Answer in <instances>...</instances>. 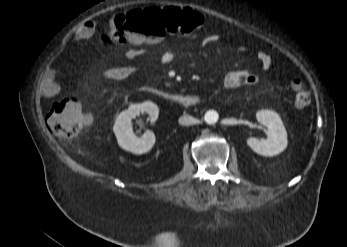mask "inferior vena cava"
<instances>
[{"label":"inferior vena cava","instance_id":"1","mask_svg":"<svg viewBox=\"0 0 347 247\" xmlns=\"http://www.w3.org/2000/svg\"><path fill=\"white\" fill-rule=\"evenodd\" d=\"M197 122H198L197 119H195L194 117L189 116V115H184V116L179 118V123L181 125H185V126H189L191 124H196Z\"/></svg>","mask_w":347,"mask_h":247}]
</instances>
